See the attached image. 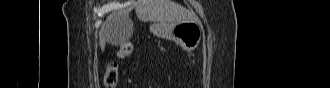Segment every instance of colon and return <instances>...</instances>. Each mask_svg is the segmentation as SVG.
I'll list each match as a JSON object with an SVG mask.
<instances>
[{
    "label": "colon",
    "instance_id": "obj_1",
    "mask_svg": "<svg viewBox=\"0 0 330 88\" xmlns=\"http://www.w3.org/2000/svg\"><path fill=\"white\" fill-rule=\"evenodd\" d=\"M124 47L129 51L133 49V44L131 42H125ZM119 71L118 66L114 63L107 67L104 74L103 83L105 87H115L118 81Z\"/></svg>",
    "mask_w": 330,
    "mask_h": 88
}]
</instances>
